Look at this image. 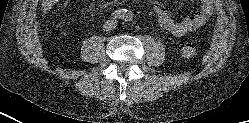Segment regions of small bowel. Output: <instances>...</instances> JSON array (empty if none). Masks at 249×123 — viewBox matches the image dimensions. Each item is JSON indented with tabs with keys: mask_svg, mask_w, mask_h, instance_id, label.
I'll return each instance as SVG.
<instances>
[{
	"mask_svg": "<svg viewBox=\"0 0 249 123\" xmlns=\"http://www.w3.org/2000/svg\"><path fill=\"white\" fill-rule=\"evenodd\" d=\"M43 8L48 11L63 0H43ZM153 11L160 26L172 35L181 37L188 32H194L202 27L213 16L215 11L214 0H200V9L182 20H175L172 13L162 4L154 3Z\"/></svg>",
	"mask_w": 249,
	"mask_h": 123,
	"instance_id": "c3829d8e",
	"label": "small bowel"
}]
</instances>
